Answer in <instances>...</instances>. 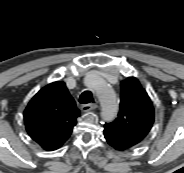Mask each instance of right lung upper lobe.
I'll return each instance as SVG.
<instances>
[{"label":"right lung upper lobe","mask_w":184,"mask_h":173,"mask_svg":"<svg viewBox=\"0 0 184 173\" xmlns=\"http://www.w3.org/2000/svg\"><path fill=\"white\" fill-rule=\"evenodd\" d=\"M80 115L64 82H53L42 88L24 111L28 134L44 150L60 148L72 133Z\"/></svg>","instance_id":"obj_1"}]
</instances>
